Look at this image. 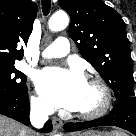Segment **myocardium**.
<instances>
[{"label":"myocardium","instance_id":"myocardium-1","mask_svg":"<svg viewBox=\"0 0 136 136\" xmlns=\"http://www.w3.org/2000/svg\"><path fill=\"white\" fill-rule=\"evenodd\" d=\"M87 82L94 85L100 91L101 103L96 109L92 111L77 112V116L82 119L93 120L102 117L108 112L112 104V95L109 87L100 78L90 77Z\"/></svg>","mask_w":136,"mask_h":136}]
</instances>
